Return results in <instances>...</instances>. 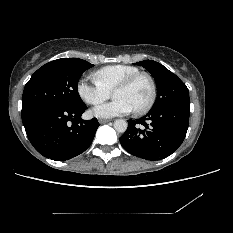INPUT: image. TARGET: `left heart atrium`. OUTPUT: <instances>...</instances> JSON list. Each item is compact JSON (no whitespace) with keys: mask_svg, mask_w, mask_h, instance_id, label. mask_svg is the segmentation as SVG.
Masks as SVG:
<instances>
[{"mask_svg":"<svg viewBox=\"0 0 233 233\" xmlns=\"http://www.w3.org/2000/svg\"><path fill=\"white\" fill-rule=\"evenodd\" d=\"M133 111L132 106L124 99H114L110 103L97 106L93 112L97 117L111 118L118 115L128 114Z\"/></svg>","mask_w":233,"mask_h":233,"instance_id":"left-heart-atrium-1","label":"left heart atrium"}]
</instances>
